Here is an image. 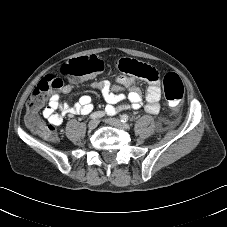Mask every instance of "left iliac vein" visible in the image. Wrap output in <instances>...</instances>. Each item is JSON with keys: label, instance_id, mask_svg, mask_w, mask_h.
Masks as SVG:
<instances>
[{"label": "left iliac vein", "instance_id": "4c4485c4", "mask_svg": "<svg viewBox=\"0 0 227 227\" xmlns=\"http://www.w3.org/2000/svg\"><path fill=\"white\" fill-rule=\"evenodd\" d=\"M105 122L113 127L120 128V129H128L129 125L126 123L121 122V120L116 119V118H109L106 119Z\"/></svg>", "mask_w": 227, "mask_h": 227}]
</instances>
